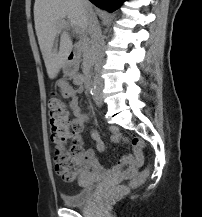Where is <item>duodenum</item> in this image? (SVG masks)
I'll list each match as a JSON object with an SVG mask.
<instances>
[{
  "mask_svg": "<svg viewBox=\"0 0 202 217\" xmlns=\"http://www.w3.org/2000/svg\"><path fill=\"white\" fill-rule=\"evenodd\" d=\"M67 60H68V64L66 70L69 74H73L78 66V60H79V52L75 45L71 46L70 50L68 51ZM83 83L87 87H89L91 84L90 78L87 77V79H83Z\"/></svg>",
  "mask_w": 202,
  "mask_h": 217,
  "instance_id": "obj_1",
  "label": "duodenum"
}]
</instances>
